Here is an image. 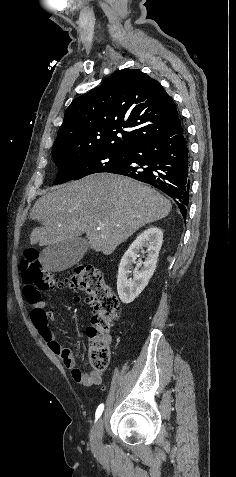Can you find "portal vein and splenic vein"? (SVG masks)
Masks as SVG:
<instances>
[{
	"label": "portal vein and splenic vein",
	"mask_w": 236,
	"mask_h": 477,
	"mask_svg": "<svg viewBox=\"0 0 236 477\" xmlns=\"http://www.w3.org/2000/svg\"><path fill=\"white\" fill-rule=\"evenodd\" d=\"M102 226H103V224H99V227H98V228H100V227H102Z\"/></svg>",
	"instance_id": "portal-vein-and-splenic-vein-1"
}]
</instances>
